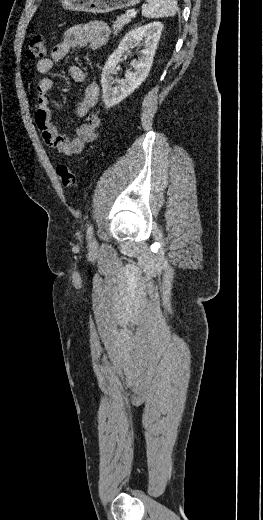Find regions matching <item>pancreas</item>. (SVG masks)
<instances>
[{"label":"pancreas","instance_id":"cf45deb5","mask_svg":"<svg viewBox=\"0 0 263 520\" xmlns=\"http://www.w3.org/2000/svg\"><path fill=\"white\" fill-rule=\"evenodd\" d=\"M133 17L134 16H128L127 14H123L117 17L112 26L114 33H118L126 24L131 21V18Z\"/></svg>","mask_w":263,"mask_h":520}]
</instances>
